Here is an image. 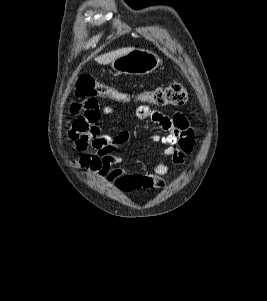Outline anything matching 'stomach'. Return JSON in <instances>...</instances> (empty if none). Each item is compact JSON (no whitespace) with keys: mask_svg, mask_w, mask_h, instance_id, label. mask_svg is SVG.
I'll use <instances>...</instances> for the list:
<instances>
[{"mask_svg":"<svg viewBox=\"0 0 267 301\" xmlns=\"http://www.w3.org/2000/svg\"><path fill=\"white\" fill-rule=\"evenodd\" d=\"M160 63L161 59L156 53L145 49H133L114 60L111 67L118 73L146 75L157 69Z\"/></svg>","mask_w":267,"mask_h":301,"instance_id":"obj_1","label":"stomach"}]
</instances>
